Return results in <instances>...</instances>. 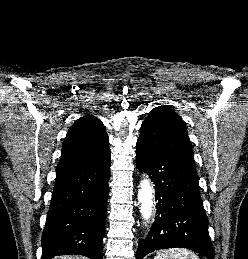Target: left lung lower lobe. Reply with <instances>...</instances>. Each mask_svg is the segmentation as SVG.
<instances>
[{
	"mask_svg": "<svg viewBox=\"0 0 248 259\" xmlns=\"http://www.w3.org/2000/svg\"><path fill=\"white\" fill-rule=\"evenodd\" d=\"M136 163L155 184L156 218L137 259L152 251L181 247L214 259L208 220L200 197L198 176L167 155L137 140Z\"/></svg>",
	"mask_w": 248,
	"mask_h": 259,
	"instance_id": "left-lung-lower-lobe-1",
	"label": "left lung lower lobe"
}]
</instances>
